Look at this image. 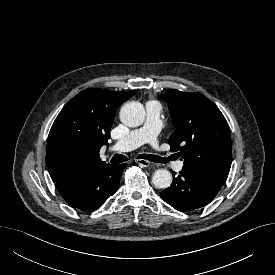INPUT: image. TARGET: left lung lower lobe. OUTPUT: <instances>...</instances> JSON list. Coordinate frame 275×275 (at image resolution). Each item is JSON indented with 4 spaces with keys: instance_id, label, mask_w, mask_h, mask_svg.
<instances>
[{
    "instance_id": "obj_1",
    "label": "left lung lower lobe",
    "mask_w": 275,
    "mask_h": 275,
    "mask_svg": "<svg viewBox=\"0 0 275 275\" xmlns=\"http://www.w3.org/2000/svg\"><path fill=\"white\" fill-rule=\"evenodd\" d=\"M171 186L160 193L161 198L173 208L187 212L211 202L226 180L216 176L182 168Z\"/></svg>"
}]
</instances>
